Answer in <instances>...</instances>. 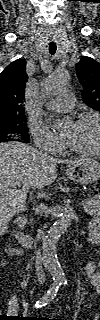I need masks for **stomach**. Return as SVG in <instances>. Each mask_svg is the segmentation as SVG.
I'll return each mask as SVG.
<instances>
[{
    "label": "stomach",
    "mask_w": 100,
    "mask_h": 320,
    "mask_svg": "<svg viewBox=\"0 0 100 320\" xmlns=\"http://www.w3.org/2000/svg\"><path fill=\"white\" fill-rule=\"evenodd\" d=\"M66 174L69 179L77 183H93L100 178V162L89 157L77 159L68 165Z\"/></svg>",
    "instance_id": "0dacf381"
}]
</instances>
